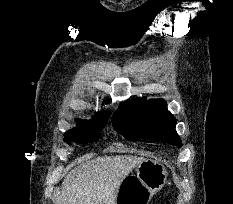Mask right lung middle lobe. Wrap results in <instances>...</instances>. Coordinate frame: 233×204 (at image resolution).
I'll return each instance as SVG.
<instances>
[{"instance_id": "dd1d6c3e", "label": "right lung middle lobe", "mask_w": 233, "mask_h": 204, "mask_svg": "<svg viewBox=\"0 0 233 204\" xmlns=\"http://www.w3.org/2000/svg\"><path fill=\"white\" fill-rule=\"evenodd\" d=\"M107 118H97L78 122L77 129H72L65 134V141L69 144L71 141L78 143H88L99 139L100 132L106 123Z\"/></svg>"}]
</instances>
